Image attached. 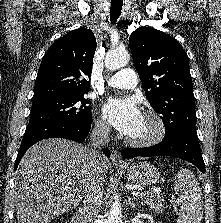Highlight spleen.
Instances as JSON below:
<instances>
[{
  "instance_id": "obj_1",
  "label": "spleen",
  "mask_w": 221,
  "mask_h": 223,
  "mask_svg": "<svg viewBox=\"0 0 221 223\" xmlns=\"http://www.w3.org/2000/svg\"><path fill=\"white\" fill-rule=\"evenodd\" d=\"M174 189L180 205L177 223H201L203 195L194 174L186 168H180L175 177Z\"/></svg>"
}]
</instances>
